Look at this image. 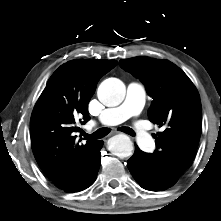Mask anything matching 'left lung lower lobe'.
I'll return each mask as SVG.
<instances>
[{
	"instance_id": "obj_1",
	"label": "left lung lower lobe",
	"mask_w": 221,
	"mask_h": 221,
	"mask_svg": "<svg viewBox=\"0 0 221 221\" xmlns=\"http://www.w3.org/2000/svg\"><path fill=\"white\" fill-rule=\"evenodd\" d=\"M127 166L136 182L146 190L161 191L173 186L163 178L152 155L141 151L136 145Z\"/></svg>"
}]
</instances>
